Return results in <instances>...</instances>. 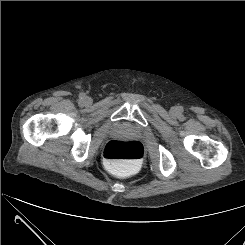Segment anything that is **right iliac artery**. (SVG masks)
Here are the masks:
<instances>
[{"mask_svg":"<svg viewBox=\"0 0 245 245\" xmlns=\"http://www.w3.org/2000/svg\"><path fill=\"white\" fill-rule=\"evenodd\" d=\"M79 99H80V101H82L84 99V95L80 94Z\"/></svg>","mask_w":245,"mask_h":245,"instance_id":"right-iliac-artery-1","label":"right iliac artery"}]
</instances>
